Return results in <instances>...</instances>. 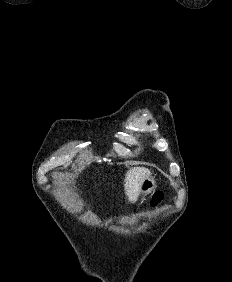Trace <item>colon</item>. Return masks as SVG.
<instances>
[{
  "label": "colon",
  "instance_id": "1",
  "mask_svg": "<svg viewBox=\"0 0 232 282\" xmlns=\"http://www.w3.org/2000/svg\"><path fill=\"white\" fill-rule=\"evenodd\" d=\"M163 198H164V195L162 192L155 193L153 197L152 205L158 206L162 202Z\"/></svg>",
  "mask_w": 232,
  "mask_h": 282
}]
</instances>
